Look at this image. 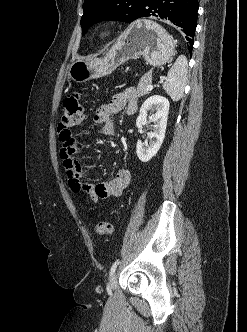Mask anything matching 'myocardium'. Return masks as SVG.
Wrapping results in <instances>:
<instances>
[{
    "label": "myocardium",
    "mask_w": 247,
    "mask_h": 332,
    "mask_svg": "<svg viewBox=\"0 0 247 332\" xmlns=\"http://www.w3.org/2000/svg\"><path fill=\"white\" fill-rule=\"evenodd\" d=\"M115 33V28L111 25H104L96 31V36L100 40L108 39Z\"/></svg>",
    "instance_id": "1"
}]
</instances>
